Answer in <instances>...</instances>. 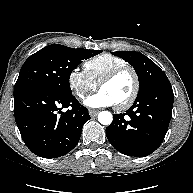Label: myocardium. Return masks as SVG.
I'll return each mask as SVG.
<instances>
[{
  "label": "myocardium",
  "instance_id": "myocardium-1",
  "mask_svg": "<svg viewBox=\"0 0 193 193\" xmlns=\"http://www.w3.org/2000/svg\"><path fill=\"white\" fill-rule=\"evenodd\" d=\"M124 72H130L134 79V87L131 95L129 98L124 101L121 104L115 105L117 110H125L131 107L134 102L136 101L139 91H140V78L137 73V71L130 65H125L118 67L112 71H110L108 74H106L98 83V88L100 89L103 85L113 81L115 78H117L120 74Z\"/></svg>",
  "mask_w": 193,
  "mask_h": 193
}]
</instances>
